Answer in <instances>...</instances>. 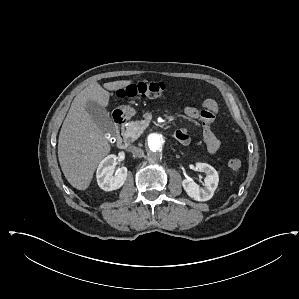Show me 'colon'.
I'll use <instances>...</instances> for the list:
<instances>
[{"label": "colon", "instance_id": "1", "mask_svg": "<svg viewBox=\"0 0 299 299\" xmlns=\"http://www.w3.org/2000/svg\"><path fill=\"white\" fill-rule=\"evenodd\" d=\"M165 84L162 82L142 81L120 88L117 95L120 98H156L163 94ZM231 170H239L242 162L238 158H232L228 162Z\"/></svg>", "mask_w": 299, "mask_h": 299}]
</instances>
